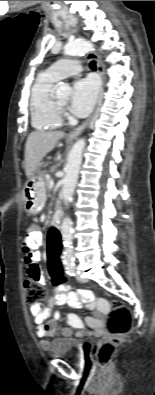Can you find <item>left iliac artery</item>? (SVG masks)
<instances>
[{"instance_id": "44dca946", "label": "left iliac artery", "mask_w": 155, "mask_h": 395, "mask_svg": "<svg viewBox=\"0 0 155 395\" xmlns=\"http://www.w3.org/2000/svg\"><path fill=\"white\" fill-rule=\"evenodd\" d=\"M64 264H65L66 273L70 276H74L75 275V259L74 258L65 259Z\"/></svg>"}]
</instances>
